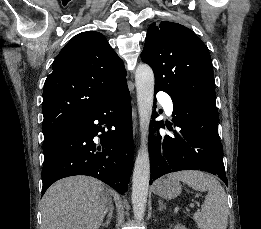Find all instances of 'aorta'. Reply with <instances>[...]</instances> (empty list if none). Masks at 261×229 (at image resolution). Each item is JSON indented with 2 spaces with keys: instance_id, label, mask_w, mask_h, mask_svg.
<instances>
[{
  "instance_id": "aorta-1",
  "label": "aorta",
  "mask_w": 261,
  "mask_h": 229,
  "mask_svg": "<svg viewBox=\"0 0 261 229\" xmlns=\"http://www.w3.org/2000/svg\"><path fill=\"white\" fill-rule=\"evenodd\" d=\"M135 82L140 119L141 147L134 165L131 201L135 219L142 221L146 211L150 181L148 135L154 96V72L149 64H138L135 70Z\"/></svg>"
}]
</instances>
